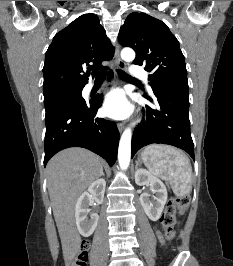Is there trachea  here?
<instances>
[{
    "label": "trachea",
    "mask_w": 233,
    "mask_h": 266,
    "mask_svg": "<svg viewBox=\"0 0 233 266\" xmlns=\"http://www.w3.org/2000/svg\"><path fill=\"white\" fill-rule=\"evenodd\" d=\"M118 75L123 79H129V80H135L137 79L133 78L132 76L128 75L122 70H117ZM94 76L96 79H104L106 77V70H101L99 72H94Z\"/></svg>",
    "instance_id": "trachea-1"
}]
</instances>
